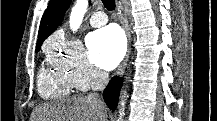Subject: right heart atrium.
Returning a JSON list of instances; mask_svg holds the SVG:
<instances>
[{"instance_id": "obj_1", "label": "right heart atrium", "mask_w": 217, "mask_h": 121, "mask_svg": "<svg viewBox=\"0 0 217 121\" xmlns=\"http://www.w3.org/2000/svg\"><path fill=\"white\" fill-rule=\"evenodd\" d=\"M45 52L51 65L80 91L99 86L105 80V74L90 63L80 41L55 35Z\"/></svg>"}]
</instances>
